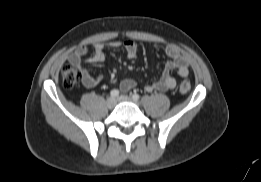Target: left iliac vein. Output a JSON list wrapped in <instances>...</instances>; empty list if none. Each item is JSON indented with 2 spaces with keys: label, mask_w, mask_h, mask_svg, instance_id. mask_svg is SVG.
I'll use <instances>...</instances> for the list:
<instances>
[{
  "label": "left iliac vein",
  "mask_w": 261,
  "mask_h": 182,
  "mask_svg": "<svg viewBox=\"0 0 261 182\" xmlns=\"http://www.w3.org/2000/svg\"><path fill=\"white\" fill-rule=\"evenodd\" d=\"M117 100L120 101V102H131V103L137 104L136 100H134L133 98H131L127 95H121V96L118 97Z\"/></svg>",
  "instance_id": "1"
}]
</instances>
